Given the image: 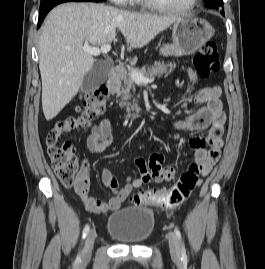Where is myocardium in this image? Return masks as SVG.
Here are the masks:
<instances>
[{
	"label": "myocardium",
	"mask_w": 265,
	"mask_h": 269,
	"mask_svg": "<svg viewBox=\"0 0 265 269\" xmlns=\"http://www.w3.org/2000/svg\"><path fill=\"white\" fill-rule=\"evenodd\" d=\"M144 2L151 8L164 11V12H175V13H187L194 9L198 3V0H192L190 4L186 7H173L166 5L159 0H144Z\"/></svg>",
	"instance_id": "myocardium-1"
}]
</instances>
